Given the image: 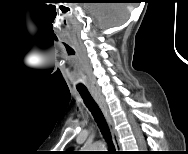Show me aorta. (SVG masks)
<instances>
[{
    "mask_svg": "<svg viewBox=\"0 0 188 154\" xmlns=\"http://www.w3.org/2000/svg\"><path fill=\"white\" fill-rule=\"evenodd\" d=\"M86 148L96 150V151H101L102 149H105L106 146L102 142H96L94 144L87 145Z\"/></svg>",
    "mask_w": 188,
    "mask_h": 154,
    "instance_id": "762f6f07",
    "label": "aorta"
}]
</instances>
